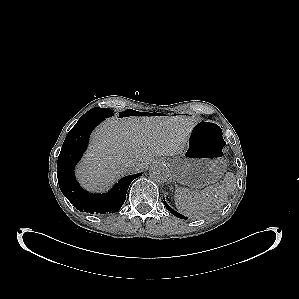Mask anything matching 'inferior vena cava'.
Wrapping results in <instances>:
<instances>
[{
	"label": "inferior vena cava",
	"mask_w": 299,
	"mask_h": 299,
	"mask_svg": "<svg viewBox=\"0 0 299 299\" xmlns=\"http://www.w3.org/2000/svg\"><path fill=\"white\" fill-rule=\"evenodd\" d=\"M131 167H132V168H136V167H137V164H136V163H132V164H131Z\"/></svg>",
	"instance_id": "602c4592"
}]
</instances>
